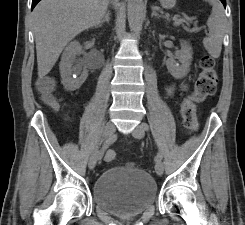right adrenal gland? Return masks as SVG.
<instances>
[{
    "mask_svg": "<svg viewBox=\"0 0 245 225\" xmlns=\"http://www.w3.org/2000/svg\"><path fill=\"white\" fill-rule=\"evenodd\" d=\"M110 16H111L110 11H107L105 13L104 18L101 20V22L96 27H101L103 25V23H105V22L109 24V22H110Z\"/></svg>",
    "mask_w": 245,
    "mask_h": 225,
    "instance_id": "2a0ac1e0",
    "label": "right adrenal gland"
}]
</instances>
